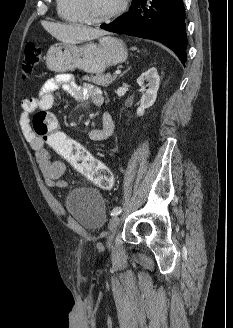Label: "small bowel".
<instances>
[{"mask_svg": "<svg viewBox=\"0 0 233 328\" xmlns=\"http://www.w3.org/2000/svg\"><path fill=\"white\" fill-rule=\"evenodd\" d=\"M61 89L78 101L91 99L97 106L102 105L104 101L103 93L99 87L90 83L79 85L69 74H60L47 80L38 96L29 97L22 101V112L19 120L22 133L35 151L36 160L46 185L56 188L67 186V182L60 179L66 173V164L52 157L46 143L32 133L30 123L35 112L40 110L48 111L53 107ZM113 131V119L109 113L104 112L101 126L90 130L88 137L92 141L106 142L112 137Z\"/></svg>", "mask_w": 233, "mask_h": 328, "instance_id": "small-bowel-1", "label": "small bowel"}]
</instances>
